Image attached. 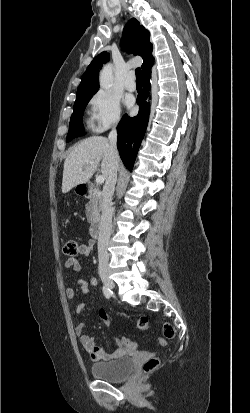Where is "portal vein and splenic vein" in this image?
Returning a JSON list of instances; mask_svg holds the SVG:
<instances>
[{"instance_id": "1", "label": "portal vein and splenic vein", "mask_w": 250, "mask_h": 413, "mask_svg": "<svg viewBox=\"0 0 250 413\" xmlns=\"http://www.w3.org/2000/svg\"><path fill=\"white\" fill-rule=\"evenodd\" d=\"M91 164H92V163H91ZM104 180H105V177H104L103 175H99V176L96 177V182H97L98 184L104 183Z\"/></svg>"}]
</instances>
